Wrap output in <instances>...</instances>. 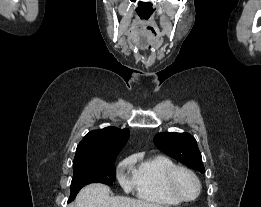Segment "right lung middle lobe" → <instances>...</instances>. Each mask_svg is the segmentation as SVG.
<instances>
[{"mask_svg": "<svg viewBox=\"0 0 261 207\" xmlns=\"http://www.w3.org/2000/svg\"><path fill=\"white\" fill-rule=\"evenodd\" d=\"M115 158L104 162H87L73 165L74 176L71 182V195L68 202L75 199L80 189L90 183L112 185L115 181Z\"/></svg>", "mask_w": 261, "mask_h": 207, "instance_id": "right-lung-middle-lobe-1", "label": "right lung middle lobe"}]
</instances>
